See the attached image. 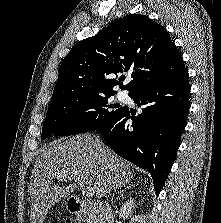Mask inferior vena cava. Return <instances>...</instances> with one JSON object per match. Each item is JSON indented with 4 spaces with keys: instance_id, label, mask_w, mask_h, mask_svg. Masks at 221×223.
<instances>
[{
    "instance_id": "inferior-vena-cava-1",
    "label": "inferior vena cava",
    "mask_w": 221,
    "mask_h": 223,
    "mask_svg": "<svg viewBox=\"0 0 221 223\" xmlns=\"http://www.w3.org/2000/svg\"><path fill=\"white\" fill-rule=\"evenodd\" d=\"M103 215H104L105 221H107L108 223H111V218H112V216H111V208H110L108 202H106V201H105V208H104Z\"/></svg>"
}]
</instances>
